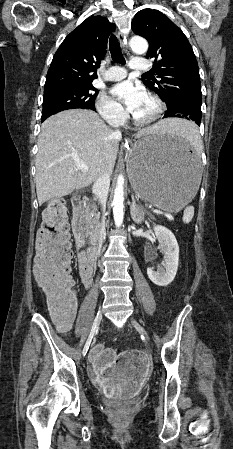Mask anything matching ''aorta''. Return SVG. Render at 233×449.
<instances>
[{"label": "aorta", "instance_id": "aorta-1", "mask_svg": "<svg viewBox=\"0 0 233 449\" xmlns=\"http://www.w3.org/2000/svg\"><path fill=\"white\" fill-rule=\"evenodd\" d=\"M129 45L131 50L139 55L145 54L148 50L147 41L141 37H132ZM112 204L115 225L120 227L124 218V177L122 175L118 176Z\"/></svg>", "mask_w": 233, "mask_h": 449}]
</instances>
